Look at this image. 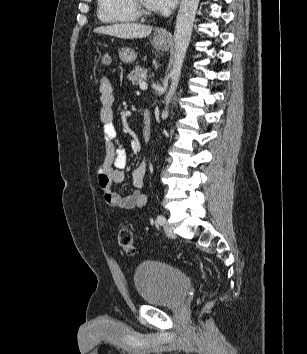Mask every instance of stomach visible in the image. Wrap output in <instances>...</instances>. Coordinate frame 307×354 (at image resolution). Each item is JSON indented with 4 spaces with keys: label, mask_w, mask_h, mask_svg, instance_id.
<instances>
[{
    "label": "stomach",
    "mask_w": 307,
    "mask_h": 354,
    "mask_svg": "<svg viewBox=\"0 0 307 354\" xmlns=\"http://www.w3.org/2000/svg\"><path fill=\"white\" fill-rule=\"evenodd\" d=\"M152 44L156 49L167 50L169 48V40L166 35L158 34L153 37ZM119 58L123 63H132L136 58V53L130 48H122L119 51Z\"/></svg>",
    "instance_id": "stomach-1"
}]
</instances>
